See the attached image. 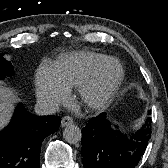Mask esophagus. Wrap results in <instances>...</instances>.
I'll return each instance as SVG.
<instances>
[{
  "instance_id": "1",
  "label": "esophagus",
  "mask_w": 168,
  "mask_h": 168,
  "mask_svg": "<svg viewBox=\"0 0 168 168\" xmlns=\"http://www.w3.org/2000/svg\"><path fill=\"white\" fill-rule=\"evenodd\" d=\"M73 123V118L70 116H64L61 121V126L65 127Z\"/></svg>"
}]
</instances>
